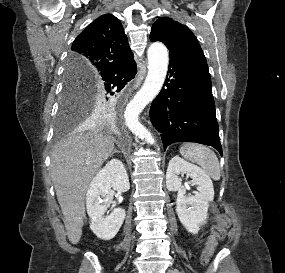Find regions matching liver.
<instances>
[{
	"mask_svg": "<svg viewBox=\"0 0 285 273\" xmlns=\"http://www.w3.org/2000/svg\"><path fill=\"white\" fill-rule=\"evenodd\" d=\"M87 121L59 142L51 155V178L60 204L67 236L77 244L85 217V194L90 181L114 150V138L89 128Z\"/></svg>",
	"mask_w": 285,
	"mask_h": 273,
	"instance_id": "6515ba94",
	"label": "liver"
}]
</instances>
